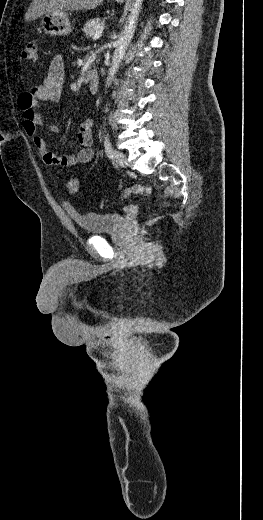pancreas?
<instances>
[{"instance_id":"pancreas-1","label":"pancreas","mask_w":263,"mask_h":520,"mask_svg":"<svg viewBox=\"0 0 263 520\" xmlns=\"http://www.w3.org/2000/svg\"><path fill=\"white\" fill-rule=\"evenodd\" d=\"M101 19L94 18L89 20L83 27V31L86 34V37L89 38L95 34L96 31L100 29Z\"/></svg>"}]
</instances>
